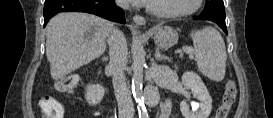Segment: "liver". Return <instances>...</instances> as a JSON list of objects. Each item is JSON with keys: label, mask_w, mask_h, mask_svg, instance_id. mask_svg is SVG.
Segmentation results:
<instances>
[{"label": "liver", "mask_w": 273, "mask_h": 118, "mask_svg": "<svg viewBox=\"0 0 273 118\" xmlns=\"http://www.w3.org/2000/svg\"><path fill=\"white\" fill-rule=\"evenodd\" d=\"M112 23L87 13L65 12L46 27V55L53 79H61L95 58L106 48Z\"/></svg>", "instance_id": "liver-1"}]
</instances>
